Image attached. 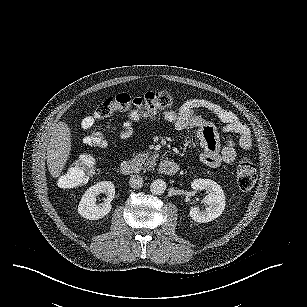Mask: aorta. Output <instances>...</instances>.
I'll use <instances>...</instances> for the list:
<instances>
[{
	"mask_svg": "<svg viewBox=\"0 0 307 307\" xmlns=\"http://www.w3.org/2000/svg\"><path fill=\"white\" fill-rule=\"evenodd\" d=\"M167 188V184L163 179H155L150 184V192L153 195H162Z\"/></svg>",
	"mask_w": 307,
	"mask_h": 307,
	"instance_id": "aorta-1",
	"label": "aorta"
}]
</instances>
